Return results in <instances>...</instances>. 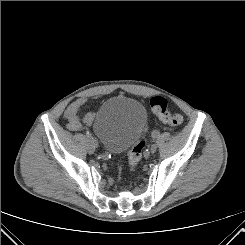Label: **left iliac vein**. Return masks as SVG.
Returning <instances> with one entry per match:
<instances>
[{
	"label": "left iliac vein",
	"instance_id": "obj_1",
	"mask_svg": "<svg viewBox=\"0 0 245 245\" xmlns=\"http://www.w3.org/2000/svg\"><path fill=\"white\" fill-rule=\"evenodd\" d=\"M156 150H157L156 144L151 145V147H150V152H151V153H155Z\"/></svg>",
	"mask_w": 245,
	"mask_h": 245
}]
</instances>
